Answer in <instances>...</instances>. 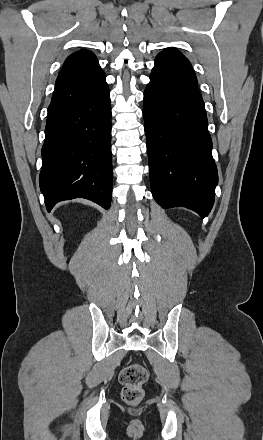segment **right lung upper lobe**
Returning a JSON list of instances; mask_svg holds the SVG:
<instances>
[{"instance_id":"cb5924a9","label":"right lung upper lobe","mask_w":263,"mask_h":440,"mask_svg":"<svg viewBox=\"0 0 263 440\" xmlns=\"http://www.w3.org/2000/svg\"><path fill=\"white\" fill-rule=\"evenodd\" d=\"M98 71H101V68L96 56L92 52L86 50L75 52L65 60L63 68L57 77L55 88L72 83Z\"/></svg>"}]
</instances>
